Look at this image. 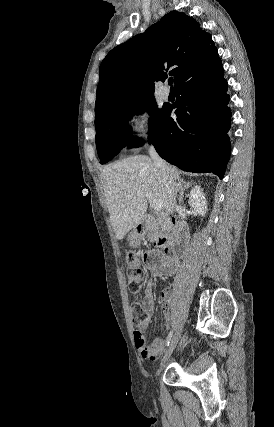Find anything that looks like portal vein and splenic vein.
Segmentation results:
<instances>
[{"instance_id":"obj_1","label":"portal vein and splenic vein","mask_w":274,"mask_h":427,"mask_svg":"<svg viewBox=\"0 0 274 427\" xmlns=\"http://www.w3.org/2000/svg\"><path fill=\"white\" fill-rule=\"evenodd\" d=\"M146 198L155 212H161L163 208V202H161V200H153L152 196H146Z\"/></svg>"}]
</instances>
